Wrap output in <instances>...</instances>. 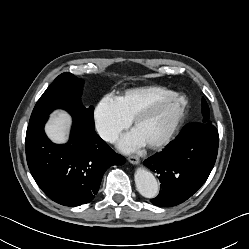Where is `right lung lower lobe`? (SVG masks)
<instances>
[{
	"instance_id": "1",
	"label": "right lung lower lobe",
	"mask_w": 249,
	"mask_h": 249,
	"mask_svg": "<svg viewBox=\"0 0 249 249\" xmlns=\"http://www.w3.org/2000/svg\"><path fill=\"white\" fill-rule=\"evenodd\" d=\"M48 116L29 123L26 133V157L38 186L53 201L65 206L90 202L98 192L104 172L123 165L94 128L73 118L68 143H52L44 133Z\"/></svg>"
}]
</instances>
